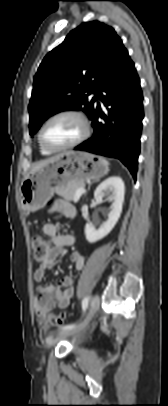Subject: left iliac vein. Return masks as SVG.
<instances>
[{
	"label": "left iliac vein",
	"mask_w": 168,
	"mask_h": 406,
	"mask_svg": "<svg viewBox=\"0 0 168 406\" xmlns=\"http://www.w3.org/2000/svg\"><path fill=\"white\" fill-rule=\"evenodd\" d=\"M100 305V298L99 296H94L91 304H90V308L88 311V315L85 318V320L78 326L72 328V329H67V330H63L60 331L59 333H57L56 335V340H60L66 336H70V335H76L79 332H81L82 330H84L87 325L89 324V322L91 321V319L94 317L95 313L97 312L98 308Z\"/></svg>",
	"instance_id": "1"
}]
</instances>
